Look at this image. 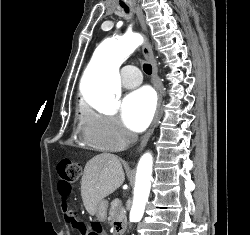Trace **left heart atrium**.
Returning a JSON list of instances; mask_svg holds the SVG:
<instances>
[{
	"mask_svg": "<svg viewBox=\"0 0 250 235\" xmlns=\"http://www.w3.org/2000/svg\"><path fill=\"white\" fill-rule=\"evenodd\" d=\"M155 105V95L147 87L128 94L121 104V114L125 125L135 132L143 131L154 115Z\"/></svg>",
	"mask_w": 250,
	"mask_h": 235,
	"instance_id": "1",
	"label": "left heart atrium"
}]
</instances>
